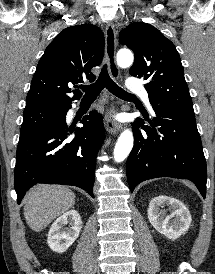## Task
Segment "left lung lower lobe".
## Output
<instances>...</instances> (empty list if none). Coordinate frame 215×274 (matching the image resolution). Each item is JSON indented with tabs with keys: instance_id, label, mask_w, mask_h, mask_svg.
<instances>
[{
	"instance_id": "1",
	"label": "left lung lower lobe",
	"mask_w": 215,
	"mask_h": 274,
	"mask_svg": "<svg viewBox=\"0 0 215 274\" xmlns=\"http://www.w3.org/2000/svg\"><path fill=\"white\" fill-rule=\"evenodd\" d=\"M156 114L151 127L140 118L133 125L134 147L127 160L131 192L141 182L158 177L191 180L203 198L207 170L193 112L151 104Z\"/></svg>"
}]
</instances>
